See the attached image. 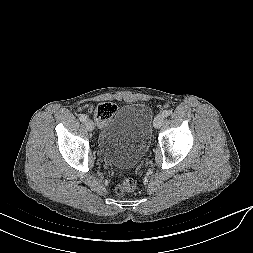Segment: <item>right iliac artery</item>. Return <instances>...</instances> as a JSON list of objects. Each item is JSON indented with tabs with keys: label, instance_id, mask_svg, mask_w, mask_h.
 Listing matches in <instances>:
<instances>
[{
	"label": "right iliac artery",
	"instance_id": "obj_1",
	"mask_svg": "<svg viewBox=\"0 0 253 253\" xmlns=\"http://www.w3.org/2000/svg\"><path fill=\"white\" fill-rule=\"evenodd\" d=\"M79 119H80L81 122H86L87 116L82 114V115L79 116Z\"/></svg>",
	"mask_w": 253,
	"mask_h": 253
}]
</instances>
